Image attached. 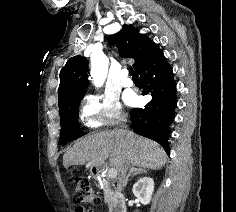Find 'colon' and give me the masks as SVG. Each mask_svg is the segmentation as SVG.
<instances>
[{"label": "colon", "mask_w": 236, "mask_h": 212, "mask_svg": "<svg viewBox=\"0 0 236 212\" xmlns=\"http://www.w3.org/2000/svg\"><path fill=\"white\" fill-rule=\"evenodd\" d=\"M74 200L80 204H97L99 199L94 193L88 179L84 177H75Z\"/></svg>", "instance_id": "1"}]
</instances>
